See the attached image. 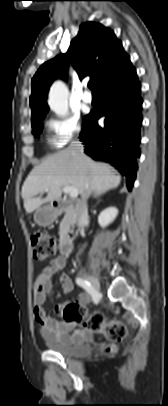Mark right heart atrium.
Here are the masks:
<instances>
[{
  "mask_svg": "<svg viewBox=\"0 0 168 406\" xmlns=\"http://www.w3.org/2000/svg\"><path fill=\"white\" fill-rule=\"evenodd\" d=\"M46 126L51 133V143L63 147L82 132L80 117L76 113H67L50 117Z\"/></svg>",
  "mask_w": 168,
  "mask_h": 406,
  "instance_id": "1",
  "label": "right heart atrium"
}]
</instances>
